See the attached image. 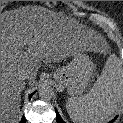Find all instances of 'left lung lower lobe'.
<instances>
[{"label":"left lung lower lobe","mask_w":123,"mask_h":123,"mask_svg":"<svg viewBox=\"0 0 123 123\" xmlns=\"http://www.w3.org/2000/svg\"><path fill=\"white\" fill-rule=\"evenodd\" d=\"M56 117H57V123H65L63 120H62V118L60 117V115H59V113L56 111ZM116 119V118H115ZM115 119L114 120H112V121H110L109 123H113L114 121H115Z\"/></svg>","instance_id":"obj_1"}]
</instances>
